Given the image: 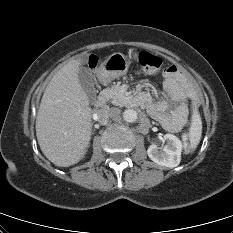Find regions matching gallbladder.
<instances>
[{
	"label": "gallbladder",
	"instance_id": "obj_1",
	"mask_svg": "<svg viewBox=\"0 0 233 233\" xmlns=\"http://www.w3.org/2000/svg\"><path fill=\"white\" fill-rule=\"evenodd\" d=\"M81 60H82V64H84L86 63L87 57L83 56L81 57ZM78 77H79L80 85L83 91L86 93L88 99L91 102H95L97 98L96 88H95L96 80L91 70L85 67L84 65H81L79 68Z\"/></svg>",
	"mask_w": 233,
	"mask_h": 233
}]
</instances>
